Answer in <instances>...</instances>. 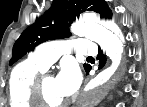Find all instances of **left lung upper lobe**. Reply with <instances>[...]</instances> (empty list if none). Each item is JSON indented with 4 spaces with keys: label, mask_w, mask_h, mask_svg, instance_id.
I'll use <instances>...</instances> for the list:
<instances>
[{
    "label": "left lung upper lobe",
    "mask_w": 147,
    "mask_h": 107,
    "mask_svg": "<svg viewBox=\"0 0 147 107\" xmlns=\"http://www.w3.org/2000/svg\"><path fill=\"white\" fill-rule=\"evenodd\" d=\"M85 11L99 13L104 19L112 18V11L105 0H54L44 16L26 28L16 40L9 64L12 65L45 41L70 37L71 23ZM89 66L84 64L85 70Z\"/></svg>",
    "instance_id": "5c2ea615"
}]
</instances>
